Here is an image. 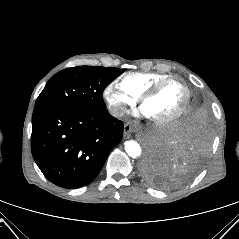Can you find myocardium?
Segmentation results:
<instances>
[{
    "label": "myocardium",
    "instance_id": "1",
    "mask_svg": "<svg viewBox=\"0 0 239 239\" xmlns=\"http://www.w3.org/2000/svg\"><path fill=\"white\" fill-rule=\"evenodd\" d=\"M173 82H178L184 87L185 92H186V97H185L184 103L177 112H175L174 114H172L170 116L162 117V118L150 117L152 122L157 125H162V124H167V123L173 122V121L179 119L180 117H182L186 113V111L189 107L190 101H191V97H192V92H191L190 87L187 85V83H185L183 80H181L179 78L167 77L165 79L158 81L157 83L153 84L152 86H150L140 96V104L143 105L146 100H148L149 98L156 95L164 86H166L169 83H173Z\"/></svg>",
    "mask_w": 239,
    "mask_h": 239
}]
</instances>
